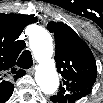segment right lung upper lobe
I'll list each match as a JSON object with an SVG mask.
<instances>
[{
  "instance_id": "obj_1",
  "label": "right lung upper lobe",
  "mask_w": 103,
  "mask_h": 103,
  "mask_svg": "<svg viewBox=\"0 0 103 103\" xmlns=\"http://www.w3.org/2000/svg\"><path fill=\"white\" fill-rule=\"evenodd\" d=\"M37 20L31 15L0 14V99L6 101L11 96L13 80L25 74L17 69L16 59L24 48L23 40H16L25 26Z\"/></svg>"
}]
</instances>
